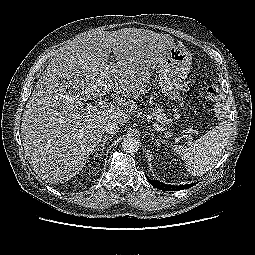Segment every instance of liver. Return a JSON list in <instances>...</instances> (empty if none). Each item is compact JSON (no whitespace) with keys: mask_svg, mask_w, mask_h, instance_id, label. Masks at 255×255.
I'll list each match as a JSON object with an SVG mask.
<instances>
[{"mask_svg":"<svg viewBox=\"0 0 255 255\" xmlns=\"http://www.w3.org/2000/svg\"><path fill=\"white\" fill-rule=\"evenodd\" d=\"M175 45L169 34L123 28L91 30L60 47L37 82L22 116L24 150L46 183H63L83 169L108 121L127 123L156 65ZM113 51L116 63L110 62ZM114 91L104 109L88 111L85 100Z\"/></svg>","mask_w":255,"mask_h":255,"instance_id":"1","label":"liver"}]
</instances>
